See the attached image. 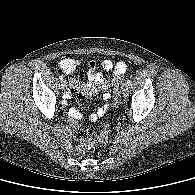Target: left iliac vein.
Returning a JSON list of instances; mask_svg holds the SVG:
<instances>
[{"mask_svg": "<svg viewBox=\"0 0 195 195\" xmlns=\"http://www.w3.org/2000/svg\"><path fill=\"white\" fill-rule=\"evenodd\" d=\"M121 90H122V93L124 95H126L128 93V91H129V85L126 82L123 83L122 86H121Z\"/></svg>", "mask_w": 195, "mask_h": 195, "instance_id": "left-iliac-vein-1", "label": "left iliac vein"}]
</instances>
